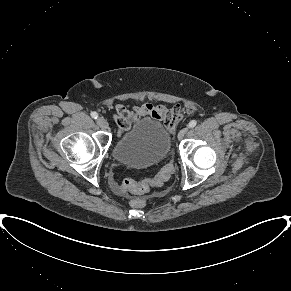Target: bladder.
<instances>
[{"instance_id":"bladder-1","label":"bladder","mask_w":291,"mask_h":291,"mask_svg":"<svg viewBox=\"0 0 291 291\" xmlns=\"http://www.w3.org/2000/svg\"><path fill=\"white\" fill-rule=\"evenodd\" d=\"M171 150V138L157 120L143 118L137 121L114 144L112 158L132 168L153 166L164 160Z\"/></svg>"}]
</instances>
